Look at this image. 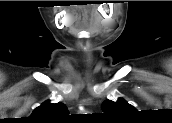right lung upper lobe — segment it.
I'll return each mask as SVG.
<instances>
[{
    "label": "right lung upper lobe",
    "mask_w": 172,
    "mask_h": 123,
    "mask_svg": "<svg viewBox=\"0 0 172 123\" xmlns=\"http://www.w3.org/2000/svg\"><path fill=\"white\" fill-rule=\"evenodd\" d=\"M67 116L68 110L65 104L61 102L51 103L47 100L38 106L27 120L33 123H54L65 119Z\"/></svg>",
    "instance_id": "obj_1"
}]
</instances>
